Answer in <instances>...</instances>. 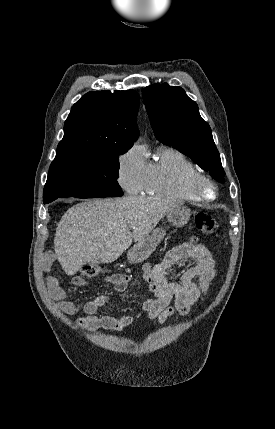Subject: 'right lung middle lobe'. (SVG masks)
<instances>
[{
  "mask_svg": "<svg viewBox=\"0 0 275 429\" xmlns=\"http://www.w3.org/2000/svg\"><path fill=\"white\" fill-rule=\"evenodd\" d=\"M124 151L56 155L44 186L43 201L58 198L122 196L118 185L119 159Z\"/></svg>",
  "mask_w": 275,
  "mask_h": 429,
  "instance_id": "1",
  "label": "right lung middle lobe"
}]
</instances>
